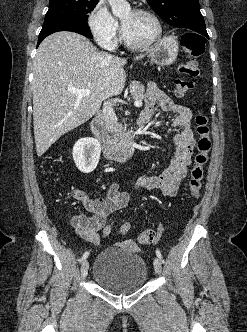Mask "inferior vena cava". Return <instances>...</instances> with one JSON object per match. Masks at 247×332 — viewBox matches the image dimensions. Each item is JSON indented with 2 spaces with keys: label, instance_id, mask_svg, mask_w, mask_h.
I'll return each mask as SVG.
<instances>
[{
  "label": "inferior vena cava",
  "instance_id": "obj_1",
  "mask_svg": "<svg viewBox=\"0 0 247 332\" xmlns=\"http://www.w3.org/2000/svg\"><path fill=\"white\" fill-rule=\"evenodd\" d=\"M103 119L105 121L106 128L112 132L115 128L116 115L114 113L112 104L110 101L104 103L103 106Z\"/></svg>",
  "mask_w": 247,
  "mask_h": 332
}]
</instances>
